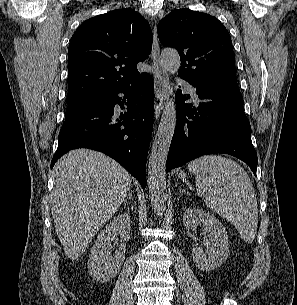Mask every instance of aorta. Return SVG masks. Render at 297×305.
<instances>
[{
	"mask_svg": "<svg viewBox=\"0 0 297 305\" xmlns=\"http://www.w3.org/2000/svg\"><path fill=\"white\" fill-rule=\"evenodd\" d=\"M161 62L166 71L176 74L180 69V56L175 49H165L161 53ZM176 126L175 100L167 101L152 144L148 163V189L152 208L162 215L166 208V161Z\"/></svg>",
	"mask_w": 297,
	"mask_h": 305,
	"instance_id": "1",
	"label": "aorta"
}]
</instances>
